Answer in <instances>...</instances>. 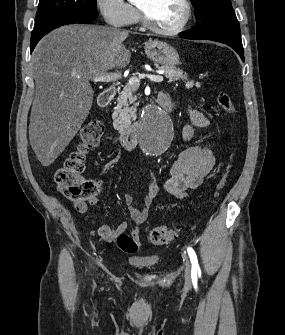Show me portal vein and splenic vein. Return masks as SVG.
<instances>
[{
	"instance_id": "18ae733b",
	"label": "portal vein and splenic vein",
	"mask_w": 285,
	"mask_h": 335,
	"mask_svg": "<svg viewBox=\"0 0 285 335\" xmlns=\"http://www.w3.org/2000/svg\"><path fill=\"white\" fill-rule=\"evenodd\" d=\"M156 74H165L162 70H157ZM121 74H98L92 82H118L121 80ZM143 78H149L151 82H163V76H152V74H139L138 78H130L128 84H137Z\"/></svg>"
}]
</instances>
